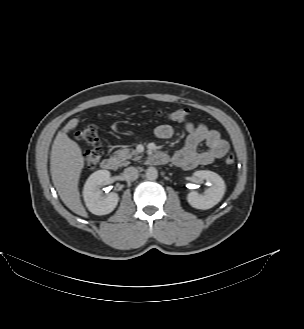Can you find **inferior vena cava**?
I'll use <instances>...</instances> for the list:
<instances>
[{
    "instance_id": "1",
    "label": "inferior vena cava",
    "mask_w": 304,
    "mask_h": 329,
    "mask_svg": "<svg viewBox=\"0 0 304 329\" xmlns=\"http://www.w3.org/2000/svg\"><path fill=\"white\" fill-rule=\"evenodd\" d=\"M123 175L125 177L126 180H136L138 178V170L135 167H127L126 169H124Z\"/></svg>"
}]
</instances>
